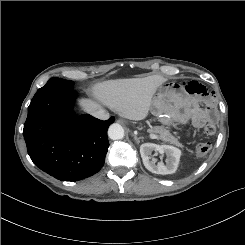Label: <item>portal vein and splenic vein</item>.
I'll return each instance as SVG.
<instances>
[{"mask_svg": "<svg viewBox=\"0 0 245 245\" xmlns=\"http://www.w3.org/2000/svg\"><path fill=\"white\" fill-rule=\"evenodd\" d=\"M150 138H152V139H158V136L155 135V134H153V133H151V134H150Z\"/></svg>", "mask_w": 245, "mask_h": 245, "instance_id": "obj_1", "label": "portal vein and splenic vein"}]
</instances>
